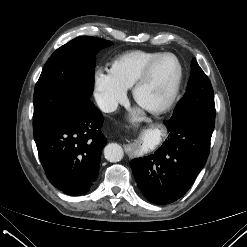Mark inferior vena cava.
Returning a JSON list of instances; mask_svg holds the SVG:
<instances>
[{"instance_id":"1","label":"inferior vena cava","mask_w":247,"mask_h":247,"mask_svg":"<svg viewBox=\"0 0 247 247\" xmlns=\"http://www.w3.org/2000/svg\"><path fill=\"white\" fill-rule=\"evenodd\" d=\"M97 104L105 113L114 112L118 107V103L113 100L99 99Z\"/></svg>"}]
</instances>
